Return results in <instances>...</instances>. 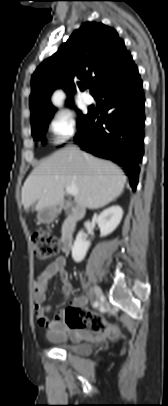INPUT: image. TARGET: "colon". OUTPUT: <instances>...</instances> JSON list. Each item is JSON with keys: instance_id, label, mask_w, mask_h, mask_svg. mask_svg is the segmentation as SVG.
Here are the masks:
<instances>
[{"instance_id": "5ec220e1", "label": "colon", "mask_w": 168, "mask_h": 406, "mask_svg": "<svg viewBox=\"0 0 168 406\" xmlns=\"http://www.w3.org/2000/svg\"><path fill=\"white\" fill-rule=\"evenodd\" d=\"M34 255L38 260L45 261L59 253L60 241L48 231H36L31 237ZM65 321L75 327H83L94 333H103L111 339L119 335L115 325L107 324L103 316L97 312L79 311L68 307L65 311Z\"/></svg>"}]
</instances>
